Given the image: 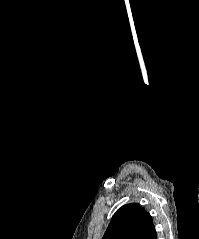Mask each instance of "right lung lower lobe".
Listing matches in <instances>:
<instances>
[{
  "instance_id": "1",
  "label": "right lung lower lobe",
  "mask_w": 199,
  "mask_h": 239,
  "mask_svg": "<svg viewBox=\"0 0 199 239\" xmlns=\"http://www.w3.org/2000/svg\"><path fill=\"white\" fill-rule=\"evenodd\" d=\"M143 239H157L155 229L150 231Z\"/></svg>"
}]
</instances>
